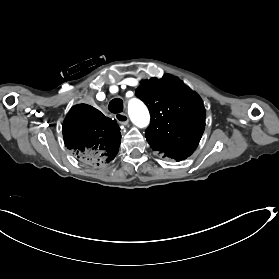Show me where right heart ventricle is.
Wrapping results in <instances>:
<instances>
[{
	"mask_svg": "<svg viewBox=\"0 0 279 279\" xmlns=\"http://www.w3.org/2000/svg\"><path fill=\"white\" fill-rule=\"evenodd\" d=\"M107 58V55L103 53H97L91 58H89L90 61H102ZM136 99V93L134 91H128L124 94V96L121 99L122 104L126 109L130 107V105L134 102Z\"/></svg>",
	"mask_w": 279,
	"mask_h": 279,
	"instance_id": "obj_1",
	"label": "right heart ventricle"
}]
</instances>
